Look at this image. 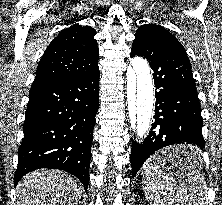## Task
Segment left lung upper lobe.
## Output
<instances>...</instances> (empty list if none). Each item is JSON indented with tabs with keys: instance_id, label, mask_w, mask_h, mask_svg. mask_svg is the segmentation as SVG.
<instances>
[{
	"instance_id": "5c2ea615",
	"label": "left lung upper lobe",
	"mask_w": 222,
	"mask_h": 205,
	"mask_svg": "<svg viewBox=\"0 0 222 205\" xmlns=\"http://www.w3.org/2000/svg\"><path fill=\"white\" fill-rule=\"evenodd\" d=\"M135 37L145 38L150 41H170L181 45L172 34L157 24H144L140 26Z\"/></svg>"
}]
</instances>
